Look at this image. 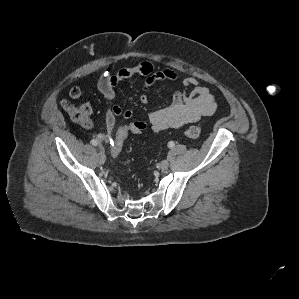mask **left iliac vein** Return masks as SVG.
Returning <instances> with one entry per match:
<instances>
[{"label":"left iliac vein","mask_w":299,"mask_h":299,"mask_svg":"<svg viewBox=\"0 0 299 299\" xmlns=\"http://www.w3.org/2000/svg\"><path fill=\"white\" fill-rule=\"evenodd\" d=\"M168 167H169V163H168V161L167 160H163L161 163H160V168H161V170H167L168 169Z\"/></svg>","instance_id":"1"}]
</instances>
